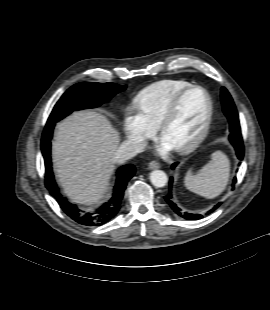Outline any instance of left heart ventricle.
Here are the masks:
<instances>
[{"label":"left heart ventricle","mask_w":270,"mask_h":310,"mask_svg":"<svg viewBox=\"0 0 270 310\" xmlns=\"http://www.w3.org/2000/svg\"><path fill=\"white\" fill-rule=\"evenodd\" d=\"M207 109L201 92H193L182 101L176 115L167 126L162 140L173 148L192 138L200 129Z\"/></svg>","instance_id":"1"}]
</instances>
